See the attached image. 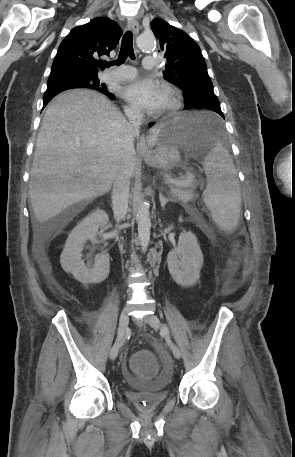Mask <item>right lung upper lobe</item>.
Masks as SVG:
<instances>
[{
  "mask_svg": "<svg viewBox=\"0 0 295 457\" xmlns=\"http://www.w3.org/2000/svg\"><path fill=\"white\" fill-rule=\"evenodd\" d=\"M121 35L119 25L107 17L73 28L58 48L48 83H82L85 78L97 76L99 69H105L97 58L108 56Z\"/></svg>",
  "mask_w": 295,
  "mask_h": 457,
  "instance_id": "obj_1",
  "label": "right lung upper lobe"
}]
</instances>
